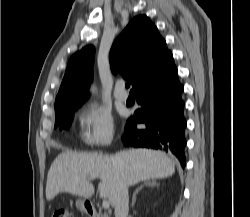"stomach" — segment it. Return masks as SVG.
<instances>
[{"instance_id":"0dacf381","label":"stomach","mask_w":250,"mask_h":217,"mask_svg":"<svg viewBox=\"0 0 250 217\" xmlns=\"http://www.w3.org/2000/svg\"><path fill=\"white\" fill-rule=\"evenodd\" d=\"M86 204H87V200L85 198H78L76 200V207L81 212H84V213L88 212L87 208H86Z\"/></svg>"}]
</instances>
